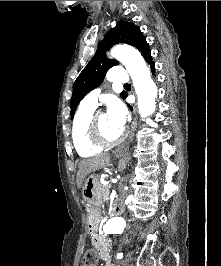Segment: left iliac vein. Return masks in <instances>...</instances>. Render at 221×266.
<instances>
[{
    "label": "left iliac vein",
    "mask_w": 221,
    "mask_h": 266,
    "mask_svg": "<svg viewBox=\"0 0 221 266\" xmlns=\"http://www.w3.org/2000/svg\"><path fill=\"white\" fill-rule=\"evenodd\" d=\"M132 260V253L131 252H128L123 260V265L124 266H129V263L131 262Z\"/></svg>",
    "instance_id": "1"
}]
</instances>
